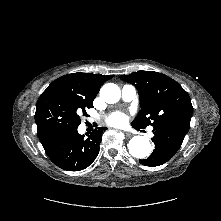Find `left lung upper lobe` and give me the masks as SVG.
Masks as SVG:
<instances>
[{"label": "left lung upper lobe", "mask_w": 221, "mask_h": 221, "mask_svg": "<svg viewBox=\"0 0 221 221\" xmlns=\"http://www.w3.org/2000/svg\"><path fill=\"white\" fill-rule=\"evenodd\" d=\"M120 78L134 85L141 110L132 122L137 128L148 125L172 127L188 132L193 112L191 99L179 83L154 71H138Z\"/></svg>", "instance_id": "5c2ea615"}]
</instances>
